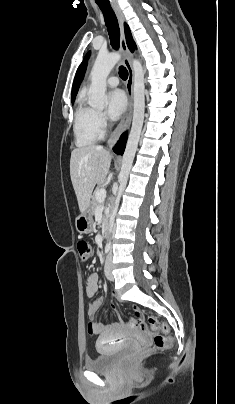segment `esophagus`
Returning <instances> with one entry per match:
<instances>
[{
  "label": "esophagus",
  "instance_id": "esophagus-1",
  "mask_svg": "<svg viewBox=\"0 0 235 404\" xmlns=\"http://www.w3.org/2000/svg\"><path fill=\"white\" fill-rule=\"evenodd\" d=\"M112 7L116 13V16L119 21L120 25V30H121V35H120V47L123 52L124 58H123V64L126 67L128 71V78L126 81V93H127V107L126 110L116 127L115 131L111 134L109 140H108V145L109 149L111 150L112 147L115 145V143L118 141L120 138L121 134L127 129L131 122L132 118V110H133V82H134V71L131 65L130 57L131 53L128 49L126 40H125V35H124V28L123 24L125 21V17L123 14V11L121 10L120 6L117 3H112Z\"/></svg>",
  "mask_w": 235,
  "mask_h": 404
}]
</instances>
